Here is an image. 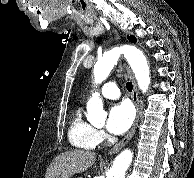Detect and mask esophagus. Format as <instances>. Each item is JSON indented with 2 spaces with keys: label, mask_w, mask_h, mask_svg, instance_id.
Returning <instances> with one entry per match:
<instances>
[{
  "label": "esophagus",
  "mask_w": 194,
  "mask_h": 178,
  "mask_svg": "<svg viewBox=\"0 0 194 178\" xmlns=\"http://www.w3.org/2000/svg\"><path fill=\"white\" fill-rule=\"evenodd\" d=\"M127 71H128V74L130 75V78H131L132 83H133L132 100H133L135 107H136V117H135L134 123H133L130 131L128 132V134L109 151V153H108L109 155L116 154L128 143V141L135 134V131H136V128L138 125V121H139L140 107H139L137 84H136L135 78H134L131 70L129 68H127Z\"/></svg>",
  "instance_id": "esophagus-1"
}]
</instances>
